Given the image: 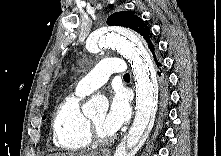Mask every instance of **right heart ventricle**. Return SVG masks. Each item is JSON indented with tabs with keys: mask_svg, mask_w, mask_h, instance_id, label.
<instances>
[{
	"mask_svg": "<svg viewBox=\"0 0 221 156\" xmlns=\"http://www.w3.org/2000/svg\"><path fill=\"white\" fill-rule=\"evenodd\" d=\"M85 96L76 90L67 95L55 111L53 142L61 150L79 151L91 144L87 135V118L81 110Z\"/></svg>",
	"mask_w": 221,
	"mask_h": 156,
	"instance_id": "e07e8e85",
	"label": "right heart ventricle"
}]
</instances>
